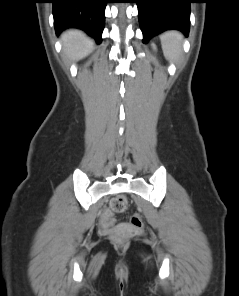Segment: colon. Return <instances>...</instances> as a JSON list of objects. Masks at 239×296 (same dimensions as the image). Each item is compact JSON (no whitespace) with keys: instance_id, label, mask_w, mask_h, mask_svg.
<instances>
[{"instance_id":"colon-1","label":"colon","mask_w":239,"mask_h":296,"mask_svg":"<svg viewBox=\"0 0 239 296\" xmlns=\"http://www.w3.org/2000/svg\"><path fill=\"white\" fill-rule=\"evenodd\" d=\"M127 200L123 196H117L110 202V209L115 213H121L126 209ZM129 224L134 228H140L143 225V220L139 214L133 213L128 217ZM116 239H121L117 237Z\"/></svg>"}]
</instances>
